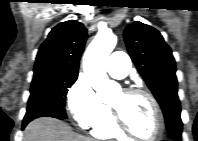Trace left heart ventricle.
<instances>
[{"mask_svg":"<svg viewBox=\"0 0 198 141\" xmlns=\"http://www.w3.org/2000/svg\"><path fill=\"white\" fill-rule=\"evenodd\" d=\"M122 115L127 126L139 137L151 138L156 131L153 107L143 95H129L120 91L110 102Z\"/></svg>","mask_w":198,"mask_h":141,"instance_id":"b2bd125f","label":"left heart ventricle"}]
</instances>
